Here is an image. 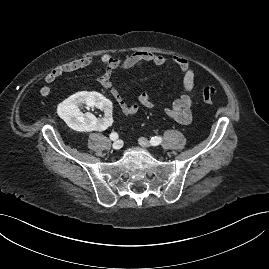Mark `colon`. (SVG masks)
<instances>
[{"label": "colon", "mask_w": 269, "mask_h": 269, "mask_svg": "<svg viewBox=\"0 0 269 269\" xmlns=\"http://www.w3.org/2000/svg\"><path fill=\"white\" fill-rule=\"evenodd\" d=\"M215 90L212 87H204L200 92L201 100L206 104H212L214 101Z\"/></svg>", "instance_id": "colon-1"}]
</instances>
